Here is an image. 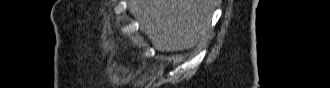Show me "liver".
Segmentation results:
<instances>
[{
    "instance_id": "1",
    "label": "liver",
    "mask_w": 330,
    "mask_h": 88,
    "mask_svg": "<svg viewBox=\"0 0 330 88\" xmlns=\"http://www.w3.org/2000/svg\"><path fill=\"white\" fill-rule=\"evenodd\" d=\"M215 0H131L129 11L158 51L190 49L208 39Z\"/></svg>"
}]
</instances>
